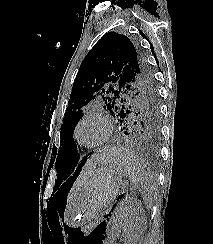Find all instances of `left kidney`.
Instances as JSON below:
<instances>
[{"label": "left kidney", "instance_id": "left-kidney-1", "mask_svg": "<svg viewBox=\"0 0 213 244\" xmlns=\"http://www.w3.org/2000/svg\"><path fill=\"white\" fill-rule=\"evenodd\" d=\"M134 210V202L131 200H126L117 207L106 244H116L119 238L123 244H137L139 218L135 216Z\"/></svg>", "mask_w": 213, "mask_h": 244}]
</instances>
